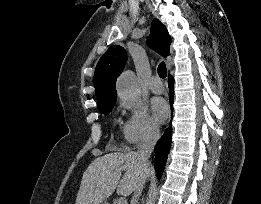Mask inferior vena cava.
<instances>
[{"instance_id": "inferior-vena-cava-1", "label": "inferior vena cava", "mask_w": 261, "mask_h": 204, "mask_svg": "<svg viewBox=\"0 0 261 204\" xmlns=\"http://www.w3.org/2000/svg\"><path fill=\"white\" fill-rule=\"evenodd\" d=\"M160 137L159 128L156 126H151L146 135L144 136L142 142L140 143L137 151V157L139 159L140 165L143 169L148 168L149 166V157L154 149L156 142ZM144 182H140L135 190L133 197L131 199V204H137L138 199L141 195L143 189Z\"/></svg>"}]
</instances>
